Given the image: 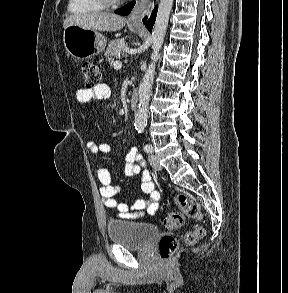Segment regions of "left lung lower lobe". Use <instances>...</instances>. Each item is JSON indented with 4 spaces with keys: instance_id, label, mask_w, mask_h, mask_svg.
<instances>
[{
    "instance_id": "0a47b994",
    "label": "left lung lower lobe",
    "mask_w": 288,
    "mask_h": 293,
    "mask_svg": "<svg viewBox=\"0 0 288 293\" xmlns=\"http://www.w3.org/2000/svg\"><path fill=\"white\" fill-rule=\"evenodd\" d=\"M134 5H135V1L116 10L115 13L119 14V15H128L131 12V10L133 9ZM156 14H157V7H155L153 9L149 19L144 18V20H143V22L145 23V26L149 29V31L152 30V25L154 24L155 19H156Z\"/></svg>"
}]
</instances>
